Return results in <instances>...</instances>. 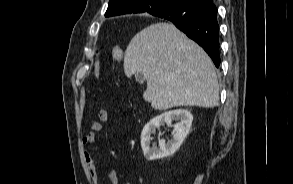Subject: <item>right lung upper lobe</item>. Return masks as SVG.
Listing matches in <instances>:
<instances>
[{
    "label": "right lung upper lobe",
    "mask_w": 293,
    "mask_h": 184,
    "mask_svg": "<svg viewBox=\"0 0 293 184\" xmlns=\"http://www.w3.org/2000/svg\"><path fill=\"white\" fill-rule=\"evenodd\" d=\"M157 0H110L108 9L105 13L106 17L117 16L131 13L148 12L154 16L160 15L169 9L177 6L183 0H168L169 5L164 10L158 11L153 7V2ZM198 2L199 5L212 3V0H187Z\"/></svg>",
    "instance_id": "1"
}]
</instances>
